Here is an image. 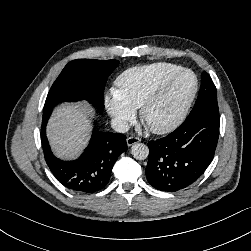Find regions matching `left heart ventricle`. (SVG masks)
Masks as SVG:
<instances>
[{"instance_id": "left-heart-ventricle-1", "label": "left heart ventricle", "mask_w": 251, "mask_h": 251, "mask_svg": "<svg viewBox=\"0 0 251 251\" xmlns=\"http://www.w3.org/2000/svg\"><path fill=\"white\" fill-rule=\"evenodd\" d=\"M192 87L193 77L191 75L180 76L163 97L149 109L146 123L150 126H160L172 120L183 106Z\"/></svg>"}]
</instances>
